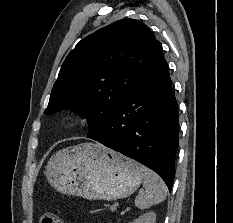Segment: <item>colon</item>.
<instances>
[{
	"label": "colon",
	"mask_w": 233,
	"mask_h": 223,
	"mask_svg": "<svg viewBox=\"0 0 233 223\" xmlns=\"http://www.w3.org/2000/svg\"><path fill=\"white\" fill-rule=\"evenodd\" d=\"M40 223H64L62 217L58 215H54L51 213H46L44 216L41 217Z\"/></svg>",
	"instance_id": "5ec220e1"
}]
</instances>
